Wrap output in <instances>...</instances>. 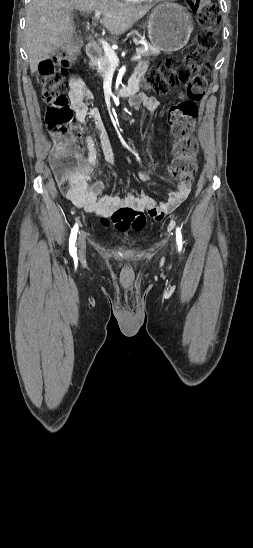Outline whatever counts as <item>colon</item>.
Returning <instances> with one entry per match:
<instances>
[{"label": "colon", "mask_w": 253, "mask_h": 548, "mask_svg": "<svg viewBox=\"0 0 253 548\" xmlns=\"http://www.w3.org/2000/svg\"><path fill=\"white\" fill-rule=\"evenodd\" d=\"M187 3L198 14L202 29L197 48L181 57H170L159 63L147 73L143 86L148 92L164 95L172 88L185 84L187 100L173 107L169 113L171 131L176 139L169 173L191 183L197 169L198 148L192 136L197 119L196 102L203 98L206 91V62L208 53L216 45L220 18L210 0H187ZM76 55V48L69 47L64 53L45 59L39 65L38 80L42 86V98L47 104L45 122L54 139L52 166L57 180L64 186L76 169L71 138L74 114L65 94V78ZM156 161V158H150L147 167L155 171L158 166Z\"/></svg>", "instance_id": "colon-1"}]
</instances>
